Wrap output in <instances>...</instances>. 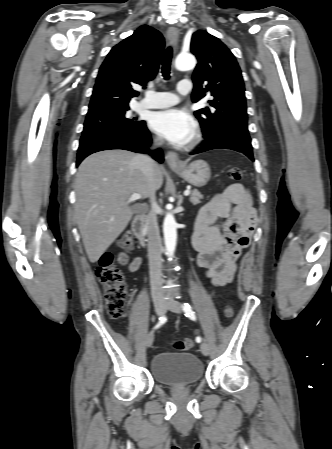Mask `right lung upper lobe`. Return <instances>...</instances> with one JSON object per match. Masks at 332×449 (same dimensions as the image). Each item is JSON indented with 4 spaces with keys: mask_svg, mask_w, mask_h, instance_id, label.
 <instances>
[{
    "mask_svg": "<svg viewBox=\"0 0 332 449\" xmlns=\"http://www.w3.org/2000/svg\"><path fill=\"white\" fill-rule=\"evenodd\" d=\"M164 45L159 31L143 25L114 46L99 69L88 112L129 107L138 95L133 87L157 74Z\"/></svg>",
    "mask_w": 332,
    "mask_h": 449,
    "instance_id": "cb5924a9",
    "label": "right lung upper lobe"
}]
</instances>
